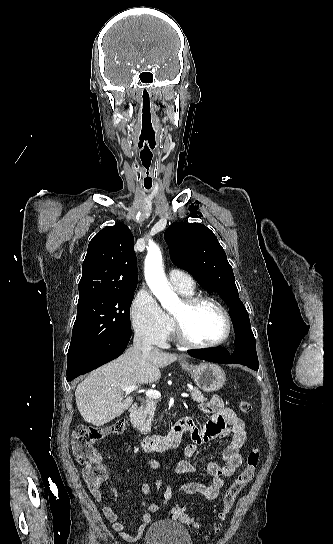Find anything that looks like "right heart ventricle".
Instances as JSON below:
<instances>
[{"mask_svg": "<svg viewBox=\"0 0 333 544\" xmlns=\"http://www.w3.org/2000/svg\"><path fill=\"white\" fill-rule=\"evenodd\" d=\"M178 292L181 293L182 295L186 296V297L191 296L193 294V290H191V291H178Z\"/></svg>", "mask_w": 333, "mask_h": 544, "instance_id": "1", "label": "right heart ventricle"}]
</instances>
